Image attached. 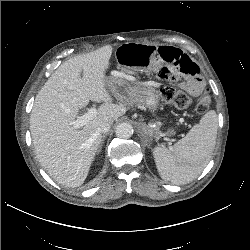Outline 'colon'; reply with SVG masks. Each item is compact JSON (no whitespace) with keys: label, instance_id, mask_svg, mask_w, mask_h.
<instances>
[{"label":"colon","instance_id":"5ec220e1","mask_svg":"<svg viewBox=\"0 0 250 250\" xmlns=\"http://www.w3.org/2000/svg\"><path fill=\"white\" fill-rule=\"evenodd\" d=\"M161 96L165 103L177 108H186L191 104V98L186 92L172 87H163L161 89ZM211 102V95L205 92L196 103V112H205L210 107Z\"/></svg>","mask_w":250,"mask_h":250}]
</instances>
